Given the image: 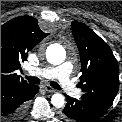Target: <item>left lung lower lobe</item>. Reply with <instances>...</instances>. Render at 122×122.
Wrapping results in <instances>:
<instances>
[{
	"label": "left lung lower lobe",
	"mask_w": 122,
	"mask_h": 122,
	"mask_svg": "<svg viewBox=\"0 0 122 122\" xmlns=\"http://www.w3.org/2000/svg\"><path fill=\"white\" fill-rule=\"evenodd\" d=\"M65 96L67 104L63 109L61 116L67 122H94L102 117L108 109L94 101L83 98L77 100L67 95Z\"/></svg>",
	"instance_id": "obj_1"
}]
</instances>
